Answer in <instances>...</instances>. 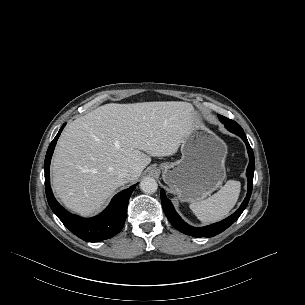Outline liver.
Wrapping results in <instances>:
<instances>
[{
	"label": "liver",
	"mask_w": 305,
	"mask_h": 305,
	"mask_svg": "<svg viewBox=\"0 0 305 305\" xmlns=\"http://www.w3.org/2000/svg\"><path fill=\"white\" fill-rule=\"evenodd\" d=\"M194 125L187 102L100 106L62 132L52 158L53 190L69 210L91 215L125 184L121 169H130L128 182H135L150 156L174 155Z\"/></svg>",
	"instance_id": "1"
}]
</instances>
